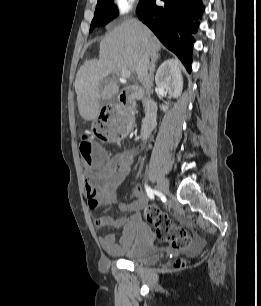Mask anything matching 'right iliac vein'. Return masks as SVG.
I'll use <instances>...</instances> for the list:
<instances>
[{"mask_svg": "<svg viewBox=\"0 0 261 306\" xmlns=\"http://www.w3.org/2000/svg\"><path fill=\"white\" fill-rule=\"evenodd\" d=\"M158 189L164 194H167L169 192L168 181L163 176H160L158 179Z\"/></svg>", "mask_w": 261, "mask_h": 306, "instance_id": "right-iliac-vein-1", "label": "right iliac vein"}]
</instances>
